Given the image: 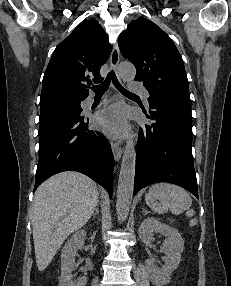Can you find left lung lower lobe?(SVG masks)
<instances>
[{"mask_svg": "<svg viewBox=\"0 0 231 286\" xmlns=\"http://www.w3.org/2000/svg\"><path fill=\"white\" fill-rule=\"evenodd\" d=\"M151 126L140 128L134 194L156 183L179 185L198 198L192 158L191 104L150 97Z\"/></svg>", "mask_w": 231, "mask_h": 286, "instance_id": "1", "label": "left lung lower lobe"}]
</instances>
